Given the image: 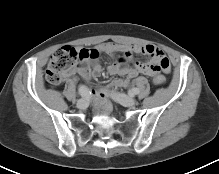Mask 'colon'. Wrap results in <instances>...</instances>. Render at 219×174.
<instances>
[{"label":"colon","mask_w":219,"mask_h":174,"mask_svg":"<svg viewBox=\"0 0 219 174\" xmlns=\"http://www.w3.org/2000/svg\"><path fill=\"white\" fill-rule=\"evenodd\" d=\"M98 53L95 50L89 52L77 51L74 48L63 47L56 50L48 63L46 69V81L51 86L60 84L64 77L73 71L83 59L95 58ZM156 86H162L165 83V77L158 75L153 79Z\"/></svg>","instance_id":"1"}]
</instances>
